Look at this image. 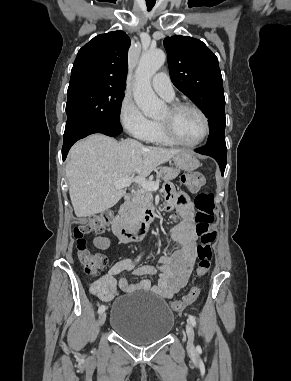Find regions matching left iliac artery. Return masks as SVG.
<instances>
[{
	"mask_svg": "<svg viewBox=\"0 0 291 381\" xmlns=\"http://www.w3.org/2000/svg\"><path fill=\"white\" fill-rule=\"evenodd\" d=\"M188 321L193 325L196 326V319L193 315H189Z\"/></svg>",
	"mask_w": 291,
	"mask_h": 381,
	"instance_id": "1",
	"label": "left iliac artery"
}]
</instances>
